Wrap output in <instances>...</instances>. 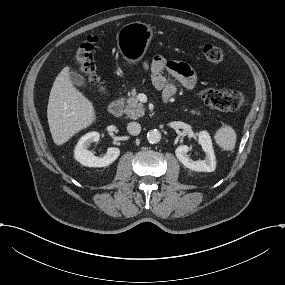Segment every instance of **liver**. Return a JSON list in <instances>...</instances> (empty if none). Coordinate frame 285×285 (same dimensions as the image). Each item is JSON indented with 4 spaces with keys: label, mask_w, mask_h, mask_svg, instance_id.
<instances>
[{
    "label": "liver",
    "mask_w": 285,
    "mask_h": 285,
    "mask_svg": "<svg viewBox=\"0 0 285 285\" xmlns=\"http://www.w3.org/2000/svg\"><path fill=\"white\" fill-rule=\"evenodd\" d=\"M70 68L66 65L58 74L49 97L47 118L57 146H63L99 120L93 103L74 87Z\"/></svg>",
    "instance_id": "6515ba94"
}]
</instances>
